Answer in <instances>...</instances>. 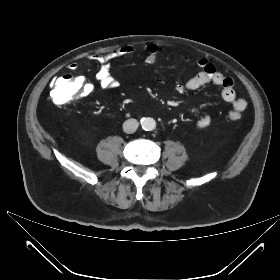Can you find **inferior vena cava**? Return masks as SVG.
<instances>
[{
	"label": "inferior vena cava",
	"instance_id": "1",
	"mask_svg": "<svg viewBox=\"0 0 280 280\" xmlns=\"http://www.w3.org/2000/svg\"><path fill=\"white\" fill-rule=\"evenodd\" d=\"M139 126V122L136 119H128L123 123V130L125 133H134Z\"/></svg>",
	"mask_w": 280,
	"mask_h": 280
}]
</instances>
